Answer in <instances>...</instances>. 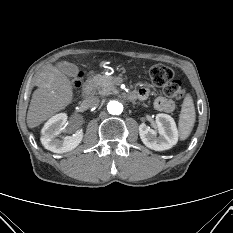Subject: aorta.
<instances>
[{
	"label": "aorta",
	"mask_w": 233,
	"mask_h": 233,
	"mask_svg": "<svg viewBox=\"0 0 233 233\" xmlns=\"http://www.w3.org/2000/svg\"><path fill=\"white\" fill-rule=\"evenodd\" d=\"M107 110L112 115H119L123 111V105L115 100H112L107 105Z\"/></svg>",
	"instance_id": "aorta-1"
}]
</instances>
